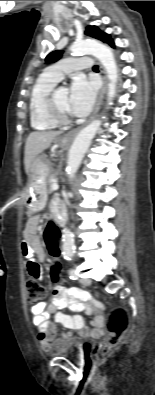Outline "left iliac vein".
I'll list each match as a JSON object with an SVG mask.
<instances>
[{
    "instance_id": "left-iliac-vein-1",
    "label": "left iliac vein",
    "mask_w": 155,
    "mask_h": 395,
    "mask_svg": "<svg viewBox=\"0 0 155 395\" xmlns=\"http://www.w3.org/2000/svg\"><path fill=\"white\" fill-rule=\"evenodd\" d=\"M80 283L84 286H89L91 284V280L89 278H80Z\"/></svg>"
}]
</instances>
